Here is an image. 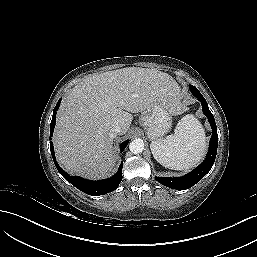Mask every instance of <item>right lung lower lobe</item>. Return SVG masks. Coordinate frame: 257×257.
<instances>
[{
    "mask_svg": "<svg viewBox=\"0 0 257 257\" xmlns=\"http://www.w3.org/2000/svg\"><path fill=\"white\" fill-rule=\"evenodd\" d=\"M60 101H61V99L58 101V103L56 104V106L53 110L52 121L50 124V139L52 137L53 130L55 127L56 111L58 110V108L60 106ZM127 144H128V140L121 144V146H120L121 152L125 149ZM50 150H51V154H52V158L54 160L55 166H56L57 170L59 171V173L69 183L73 184L76 188H78L79 190H81L82 192H84L86 194L93 195V196L106 194L108 192H111V191L117 189L122 180L123 163L120 164L118 172L114 176H112L108 179H104V180L91 181V180H87V179H84L79 176H70L57 163L55 154H54L53 143L51 141H50Z\"/></svg>",
    "mask_w": 257,
    "mask_h": 257,
    "instance_id": "98d812e1",
    "label": "right lung lower lobe"
}]
</instances>
